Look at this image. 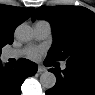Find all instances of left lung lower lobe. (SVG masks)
<instances>
[{"label": "left lung lower lobe", "instance_id": "obj_1", "mask_svg": "<svg viewBox=\"0 0 95 95\" xmlns=\"http://www.w3.org/2000/svg\"><path fill=\"white\" fill-rule=\"evenodd\" d=\"M51 60L47 57L45 65ZM56 75V85L46 91L47 95H95V66L86 64L66 63V69L51 68Z\"/></svg>", "mask_w": 95, "mask_h": 95}]
</instances>
